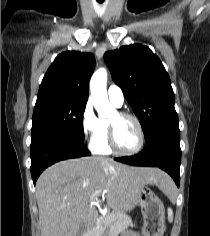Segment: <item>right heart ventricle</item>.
<instances>
[{
  "mask_svg": "<svg viewBox=\"0 0 210 236\" xmlns=\"http://www.w3.org/2000/svg\"><path fill=\"white\" fill-rule=\"evenodd\" d=\"M101 122H102L101 133L94 141L91 142L90 147L95 154L109 155L112 153V150L108 142V121L102 119Z\"/></svg>",
  "mask_w": 210,
  "mask_h": 236,
  "instance_id": "1",
  "label": "right heart ventricle"
}]
</instances>
